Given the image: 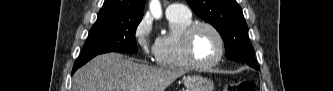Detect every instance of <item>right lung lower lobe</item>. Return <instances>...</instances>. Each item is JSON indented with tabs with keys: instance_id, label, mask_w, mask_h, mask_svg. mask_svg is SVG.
Returning a JSON list of instances; mask_svg holds the SVG:
<instances>
[{
	"instance_id": "98d812e1",
	"label": "right lung lower lobe",
	"mask_w": 333,
	"mask_h": 91,
	"mask_svg": "<svg viewBox=\"0 0 333 91\" xmlns=\"http://www.w3.org/2000/svg\"><path fill=\"white\" fill-rule=\"evenodd\" d=\"M93 57L95 56H88V57H78L75 64H74V67H73V70H72V74L81 66H83L86 62H88L90 59H92Z\"/></svg>"
}]
</instances>
